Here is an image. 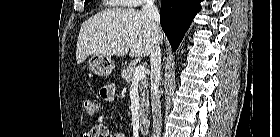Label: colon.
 I'll list each match as a JSON object with an SVG mask.
<instances>
[{
    "label": "colon",
    "instance_id": "colon-1",
    "mask_svg": "<svg viewBox=\"0 0 280 137\" xmlns=\"http://www.w3.org/2000/svg\"><path fill=\"white\" fill-rule=\"evenodd\" d=\"M102 98L106 101H113L114 95L112 93L103 92ZM83 110L85 113L91 117H95L99 112V105L96 100L84 99L83 100ZM98 133H91L88 137H99Z\"/></svg>",
    "mask_w": 280,
    "mask_h": 137
}]
</instances>
